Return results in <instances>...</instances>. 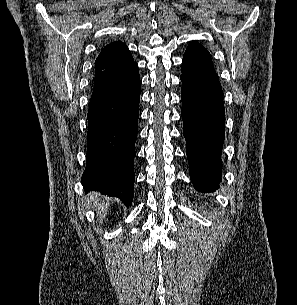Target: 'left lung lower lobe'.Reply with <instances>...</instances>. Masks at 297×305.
<instances>
[{
  "mask_svg": "<svg viewBox=\"0 0 297 305\" xmlns=\"http://www.w3.org/2000/svg\"><path fill=\"white\" fill-rule=\"evenodd\" d=\"M182 118L192 183L214 190L221 180L225 111L214 67L182 69Z\"/></svg>",
  "mask_w": 297,
  "mask_h": 305,
  "instance_id": "0a47b994",
  "label": "left lung lower lobe"
}]
</instances>
